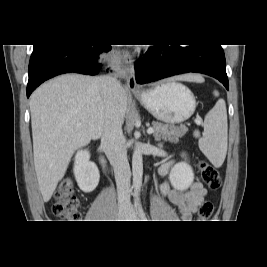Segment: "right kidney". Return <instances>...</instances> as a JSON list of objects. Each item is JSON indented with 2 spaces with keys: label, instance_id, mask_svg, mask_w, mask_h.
I'll list each match as a JSON object with an SVG mask.
<instances>
[{
  "label": "right kidney",
  "instance_id": "obj_1",
  "mask_svg": "<svg viewBox=\"0 0 267 267\" xmlns=\"http://www.w3.org/2000/svg\"><path fill=\"white\" fill-rule=\"evenodd\" d=\"M73 172L77 184L83 192H92L97 187L100 173L96 164L90 161L88 150H79L76 153Z\"/></svg>",
  "mask_w": 267,
  "mask_h": 267
}]
</instances>
